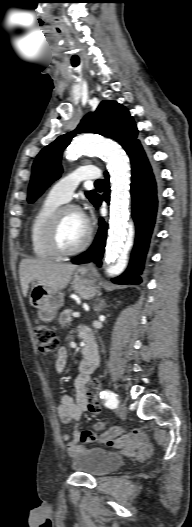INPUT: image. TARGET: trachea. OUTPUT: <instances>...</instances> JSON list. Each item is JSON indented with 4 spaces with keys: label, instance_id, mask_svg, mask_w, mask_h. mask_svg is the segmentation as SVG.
<instances>
[{
    "label": "trachea",
    "instance_id": "3493384b",
    "mask_svg": "<svg viewBox=\"0 0 192 527\" xmlns=\"http://www.w3.org/2000/svg\"><path fill=\"white\" fill-rule=\"evenodd\" d=\"M95 185L96 186H103V180L102 179H99L95 182Z\"/></svg>",
    "mask_w": 192,
    "mask_h": 527
}]
</instances>
